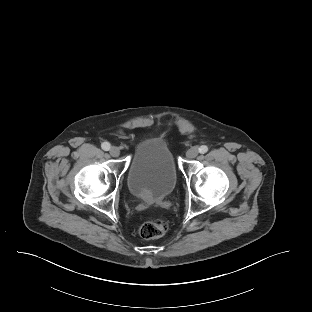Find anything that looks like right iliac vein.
I'll use <instances>...</instances> for the list:
<instances>
[{
	"label": "right iliac vein",
	"mask_w": 312,
	"mask_h": 312,
	"mask_svg": "<svg viewBox=\"0 0 312 312\" xmlns=\"http://www.w3.org/2000/svg\"><path fill=\"white\" fill-rule=\"evenodd\" d=\"M110 154L113 156V157H118L120 155V150L118 147L116 146H112L109 150Z\"/></svg>",
	"instance_id": "63e3f726"
}]
</instances>
